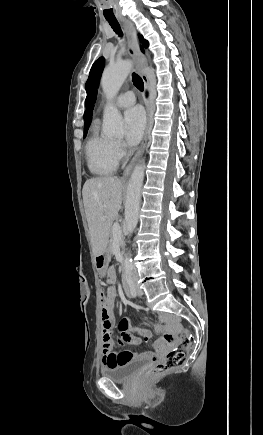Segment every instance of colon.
Wrapping results in <instances>:
<instances>
[{
  "mask_svg": "<svg viewBox=\"0 0 263 435\" xmlns=\"http://www.w3.org/2000/svg\"><path fill=\"white\" fill-rule=\"evenodd\" d=\"M100 297L101 301L103 302L105 297L103 292H101ZM102 334L103 343L101 344V347L104 350H113L115 336L114 334H112V330L110 328H105L102 331ZM187 334L188 331L184 330L180 346L169 351L162 361H159L156 364L152 365L144 373V381H152L165 374L169 370L179 367L184 363L186 354L192 346V338Z\"/></svg>",
  "mask_w": 263,
  "mask_h": 435,
  "instance_id": "5ec220e1",
  "label": "colon"
}]
</instances>
